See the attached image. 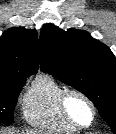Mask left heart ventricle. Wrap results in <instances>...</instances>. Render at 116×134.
I'll return each mask as SVG.
<instances>
[{
  "label": "left heart ventricle",
  "instance_id": "1",
  "mask_svg": "<svg viewBox=\"0 0 116 134\" xmlns=\"http://www.w3.org/2000/svg\"><path fill=\"white\" fill-rule=\"evenodd\" d=\"M68 109L79 123L88 124L91 121V110L81 98L76 96L70 97Z\"/></svg>",
  "mask_w": 116,
  "mask_h": 134
}]
</instances>
